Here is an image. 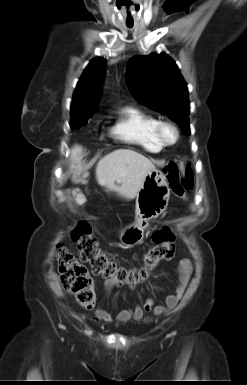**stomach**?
I'll return each mask as SVG.
<instances>
[{"label": "stomach", "mask_w": 247, "mask_h": 385, "mask_svg": "<svg viewBox=\"0 0 247 385\" xmlns=\"http://www.w3.org/2000/svg\"><path fill=\"white\" fill-rule=\"evenodd\" d=\"M170 189L164 174L154 168L149 172L136 196V220L119 232L121 243L133 247L144 237L151 219L157 218L168 205Z\"/></svg>", "instance_id": "stomach-1"}]
</instances>
